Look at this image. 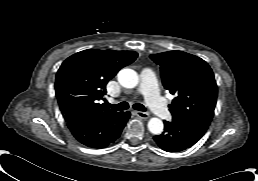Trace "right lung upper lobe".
Listing matches in <instances>:
<instances>
[{
	"label": "right lung upper lobe",
	"instance_id": "1",
	"mask_svg": "<svg viewBox=\"0 0 258 181\" xmlns=\"http://www.w3.org/2000/svg\"><path fill=\"white\" fill-rule=\"evenodd\" d=\"M137 56L134 51L88 49L67 58L55 80L59 108L66 122L118 113L98 101L106 94L108 81Z\"/></svg>",
	"mask_w": 258,
	"mask_h": 181
}]
</instances>
